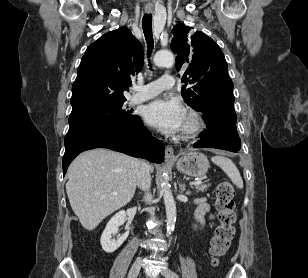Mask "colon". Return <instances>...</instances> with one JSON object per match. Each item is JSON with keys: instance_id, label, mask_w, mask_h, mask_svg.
I'll return each mask as SVG.
<instances>
[{"instance_id": "obj_1", "label": "colon", "mask_w": 308, "mask_h": 278, "mask_svg": "<svg viewBox=\"0 0 308 278\" xmlns=\"http://www.w3.org/2000/svg\"><path fill=\"white\" fill-rule=\"evenodd\" d=\"M216 208L218 225L211 239L209 250L214 265L218 264L221 257L229 249L235 234L234 189L227 180L220 182L216 187Z\"/></svg>"}]
</instances>
